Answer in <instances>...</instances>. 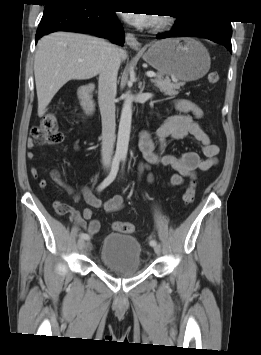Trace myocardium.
Segmentation results:
<instances>
[{
    "label": "myocardium",
    "mask_w": 261,
    "mask_h": 355,
    "mask_svg": "<svg viewBox=\"0 0 261 355\" xmlns=\"http://www.w3.org/2000/svg\"><path fill=\"white\" fill-rule=\"evenodd\" d=\"M172 22V18L166 15H162L159 17L157 23L154 28L159 30L168 27Z\"/></svg>",
    "instance_id": "obj_1"
}]
</instances>
